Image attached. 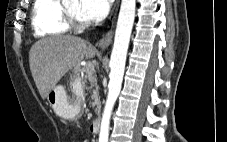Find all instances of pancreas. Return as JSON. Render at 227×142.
I'll use <instances>...</instances> for the list:
<instances>
[{"instance_id":"1","label":"pancreas","mask_w":227,"mask_h":142,"mask_svg":"<svg viewBox=\"0 0 227 142\" xmlns=\"http://www.w3.org/2000/svg\"><path fill=\"white\" fill-rule=\"evenodd\" d=\"M76 80H79L81 83V88H84V84L87 82V80L90 83V87L92 88L91 91V99L93 100V102L91 103L93 107H95V111L99 112L100 107H101V103H100V97L98 94V86L96 84V79L93 75H86L84 81H82L81 77L76 76Z\"/></svg>"}]
</instances>
